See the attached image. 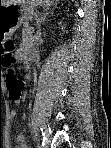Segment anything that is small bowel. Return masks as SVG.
<instances>
[{
	"instance_id": "obj_1",
	"label": "small bowel",
	"mask_w": 111,
	"mask_h": 148,
	"mask_svg": "<svg viewBox=\"0 0 111 148\" xmlns=\"http://www.w3.org/2000/svg\"><path fill=\"white\" fill-rule=\"evenodd\" d=\"M15 116V112L12 111L11 112V117L13 118ZM17 142H18V146L19 148H28L29 146L27 145V143L25 142V138L22 135H19L17 137ZM8 147V146H6Z\"/></svg>"
}]
</instances>
